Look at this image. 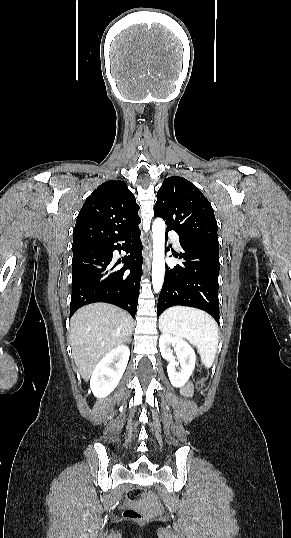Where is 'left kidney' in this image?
Listing matches in <instances>:
<instances>
[{
    "instance_id": "left-kidney-1",
    "label": "left kidney",
    "mask_w": 291,
    "mask_h": 538,
    "mask_svg": "<svg viewBox=\"0 0 291 538\" xmlns=\"http://www.w3.org/2000/svg\"><path fill=\"white\" fill-rule=\"evenodd\" d=\"M159 347L162 357L169 362L167 373L171 384L174 387H182L195 368L196 355L193 348L185 340L167 333L160 335ZM171 347L174 348L177 358L173 355Z\"/></svg>"
}]
</instances>
